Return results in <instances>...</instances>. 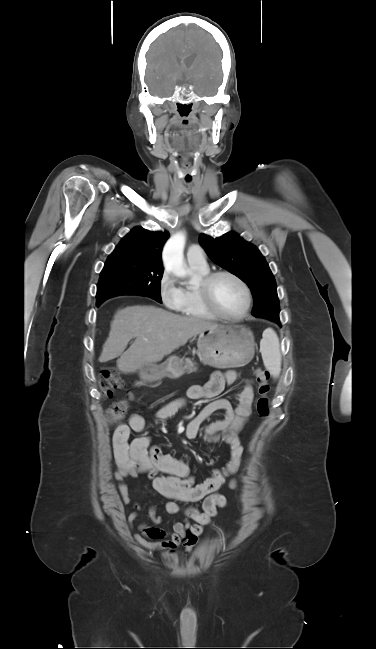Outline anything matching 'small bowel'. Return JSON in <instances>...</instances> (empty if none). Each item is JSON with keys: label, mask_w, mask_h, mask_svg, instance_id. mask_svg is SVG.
<instances>
[{"label": "small bowel", "mask_w": 376, "mask_h": 649, "mask_svg": "<svg viewBox=\"0 0 376 649\" xmlns=\"http://www.w3.org/2000/svg\"><path fill=\"white\" fill-rule=\"evenodd\" d=\"M238 377V373L234 370L214 372L205 384L190 386L187 390V398L190 400L215 398L226 385L237 381ZM253 397V388L245 380L237 396L235 408L226 399H213L187 423L185 435L189 439H194L206 419L216 412H221L223 415L221 419L210 423L205 428L203 441L207 444L218 442L227 444L230 452L229 460L225 466L216 469L211 477L200 483L195 482L188 464L164 454L160 447L151 445L148 436H140L130 441L131 432H141L145 427L146 422L142 415L132 414L127 424L123 423L116 427L112 435L115 467L113 477L119 483L118 492L122 502L125 505L131 503L126 480L145 474L151 480L153 490L169 500L165 506L167 513L184 515L183 522H172L171 531L140 524L139 532L133 535L138 544L149 550H162L164 557H172L180 545L187 551L196 545L205 526L209 525L217 515L218 507H225L227 504L226 498L216 492L225 484L227 478L236 474L240 468L243 447L239 434L251 415ZM186 401L185 398L170 401L156 411L155 418L164 421L173 417L185 406ZM230 486L234 488L235 482L231 481ZM199 501L203 502L202 511L193 507L183 508L181 505V503ZM139 510V504L133 503V510L128 515L130 528H133ZM149 515L154 523L162 522L156 508L152 507Z\"/></svg>", "instance_id": "obj_1"}]
</instances>
